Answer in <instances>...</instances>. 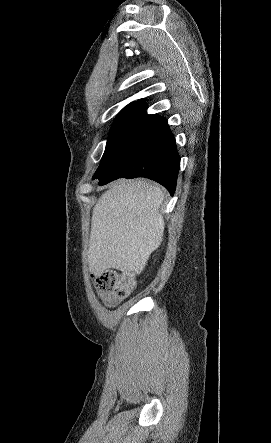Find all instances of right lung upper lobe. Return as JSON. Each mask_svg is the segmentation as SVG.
I'll list each match as a JSON object with an SVG mask.
<instances>
[{
    "instance_id": "cb5924a9",
    "label": "right lung upper lobe",
    "mask_w": 271,
    "mask_h": 443,
    "mask_svg": "<svg viewBox=\"0 0 271 443\" xmlns=\"http://www.w3.org/2000/svg\"><path fill=\"white\" fill-rule=\"evenodd\" d=\"M132 103H144V102H143L142 99H141V100H138V101H134V102H132Z\"/></svg>"
}]
</instances>
